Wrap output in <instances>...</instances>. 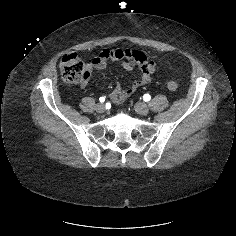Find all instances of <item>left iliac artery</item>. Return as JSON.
<instances>
[{
    "mask_svg": "<svg viewBox=\"0 0 236 236\" xmlns=\"http://www.w3.org/2000/svg\"><path fill=\"white\" fill-rule=\"evenodd\" d=\"M143 99H144L145 101H149V100L151 99V96H150L149 94H145V95L143 96Z\"/></svg>",
    "mask_w": 236,
    "mask_h": 236,
    "instance_id": "left-iliac-artery-1",
    "label": "left iliac artery"
}]
</instances>
